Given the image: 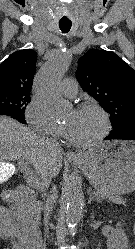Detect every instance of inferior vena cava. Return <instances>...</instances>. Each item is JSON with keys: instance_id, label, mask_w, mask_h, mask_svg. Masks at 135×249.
<instances>
[{"instance_id": "obj_1", "label": "inferior vena cava", "mask_w": 135, "mask_h": 249, "mask_svg": "<svg viewBox=\"0 0 135 249\" xmlns=\"http://www.w3.org/2000/svg\"><path fill=\"white\" fill-rule=\"evenodd\" d=\"M49 142L56 148H60L58 142L55 139H50ZM52 178L45 176L42 178V187L47 189L51 183ZM56 196V188L53 187L52 191L50 192V195H45V206H44V213H45V231L48 233L49 231V223H48V218L49 215L53 209V204L55 202L54 198Z\"/></svg>"}]
</instances>
